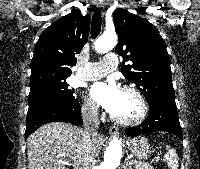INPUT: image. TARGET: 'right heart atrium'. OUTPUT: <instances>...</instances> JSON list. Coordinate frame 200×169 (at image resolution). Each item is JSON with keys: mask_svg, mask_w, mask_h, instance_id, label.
<instances>
[{"mask_svg": "<svg viewBox=\"0 0 200 169\" xmlns=\"http://www.w3.org/2000/svg\"><path fill=\"white\" fill-rule=\"evenodd\" d=\"M82 115L89 120L98 119L100 112L98 106L91 99H84L81 104Z\"/></svg>", "mask_w": 200, "mask_h": 169, "instance_id": "d8ad5b80", "label": "right heart atrium"}]
</instances>
